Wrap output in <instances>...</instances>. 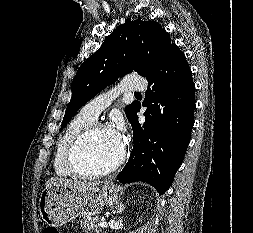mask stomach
<instances>
[{
    "instance_id": "0dacf381",
    "label": "stomach",
    "mask_w": 253,
    "mask_h": 233,
    "mask_svg": "<svg viewBox=\"0 0 253 233\" xmlns=\"http://www.w3.org/2000/svg\"><path fill=\"white\" fill-rule=\"evenodd\" d=\"M118 199V189L110 183L85 191L52 185L45 187L40 195L39 212L45 224L59 227L81 215H97L104 205L118 204Z\"/></svg>"
}]
</instances>
